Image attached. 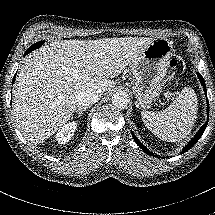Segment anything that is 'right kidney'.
Masks as SVG:
<instances>
[{
    "mask_svg": "<svg viewBox=\"0 0 215 215\" xmlns=\"http://www.w3.org/2000/svg\"><path fill=\"white\" fill-rule=\"evenodd\" d=\"M77 129V123L75 121L64 124L59 128L58 132L55 135V140L59 144H66L71 140L75 131Z\"/></svg>",
    "mask_w": 215,
    "mask_h": 215,
    "instance_id": "right-kidney-1",
    "label": "right kidney"
}]
</instances>
